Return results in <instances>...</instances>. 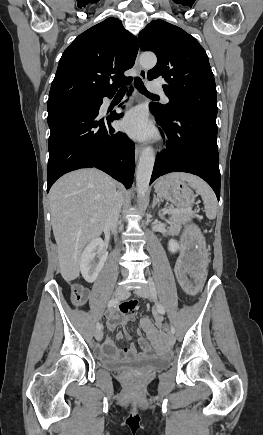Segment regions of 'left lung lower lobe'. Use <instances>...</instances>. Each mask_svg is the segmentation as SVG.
<instances>
[{"label":"left lung lower lobe","mask_w":263,"mask_h":435,"mask_svg":"<svg viewBox=\"0 0 263 435\" xmlns=\"http://www.w3.org/2000/svg\"><path fill=\"white\" fill-rule=\"evenodd\" d=\"M168 149L156 157L150 184L170 172H188L204 179L220 198L216 115L177 111L169 118L154 110Z\"/></svg>","instance_id":"left-lung-lower-lobe-1"}]
</instances>
